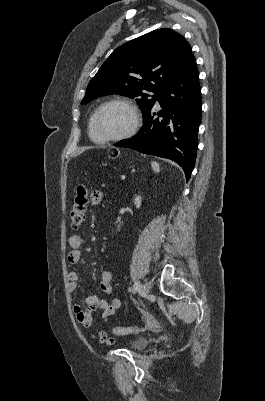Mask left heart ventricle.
<instances>
[{
	"label": "left heart ventricle",
	"instance_id": "obj_1",
	"mask_svg": "<svg viewBox=\"0 0 265 401\" xmlns=\"http://www.w3.org/2000/svg\"><path fill=\"white\" fill-rule=\"evenodd\" d=\"M132 114L124 105H110L97 117L94 136L103 140L121 134L131 123Z\"/></svg>",
	"mask_w": 265,
	"mask_h": 401
}]
</instances>
